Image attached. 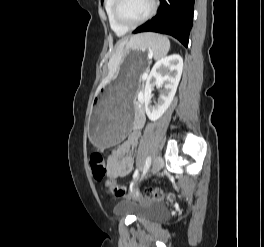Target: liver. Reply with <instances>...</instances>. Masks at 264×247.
<instances>
[{"instance_id": "6515ba94", "label": "liver", "mask_w": 264, "mask_h": 247, "mask_svg": "<svg viewBox=\"0 0 264 247\" xmlns=\"http://www.w3.org/2000/svg\"><path fill=\"white\" fill-rule=\"evenodd\" d=\"M143 34L141 35H136L134 37H131L130 40L128 39L123 40L117 47L115 54L110 58L109 63H108V68H109V73L108 76L102 80L100 85L97 88V92L100 91L102 87H104L116 74V71L122 61L123 53H124V48L127 47L129 43H134L136 42L139 38H141Z\"/></svg>"}]
</instances>
